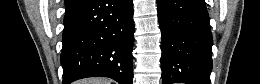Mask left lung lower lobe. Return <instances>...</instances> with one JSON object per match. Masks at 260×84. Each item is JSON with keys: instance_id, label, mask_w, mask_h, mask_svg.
<instances>
[{"instance_id": "obj_1", "label": "left lung lower lobe", "mask_w": 260, "mask_h": 84, "mask_svg": "<svg viewBox=\"0 0 260 84\" xmlns=\"http://www.w3.org/2000/svg\"><path fill=\"white\" fill-rule=\"evenodd\" d=\"M162 83L210 84L212 34L204 0H157Z\"/></svg>"}]
</instances>
